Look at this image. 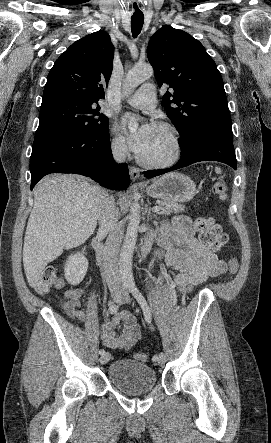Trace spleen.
I'll list each match as a JSON object with an SVG mask.
<instances>
[{
  "label": "spleen",
  "instance_id": "3e777b00",
  "mask_svg": "<svg viewBox=\"0 0 271 443\" xmlns=\"http://www.w3.org/2000/svg\"><path fill=\"white\" fill-rule=\"evenodd\" d=\"M215 172H216V174H221L222 170H221V168H215Z\"/></svg>",
  "mask_w": 271,
  "mask_h": 443
}]
</instances>
